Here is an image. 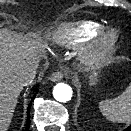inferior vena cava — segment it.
Here are the masks:
<instances>
[{"label": "inferior vena cava", "instance_id": "1", "mask_svg": "<svg viewBox=\"0 0 131 131\" xmlns=\"http://www.w3.org/2000/svg\"><path fill=\"white\" fill-rule=\"evenodd\" d=\"M37 69H38V62H35L33 65L29 66L27 69L23 70L19 74V77H18L19 83L22 86H27L28 84H30L35 78Z\"/></svg>", "mask_w": 131, "mask_h": 131}]
</instances>
